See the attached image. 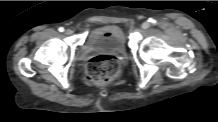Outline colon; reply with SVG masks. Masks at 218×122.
<instances>
[{"instance_id":"obj_1","label":"colon","mask_w":218,"mask_h":122,"mask_svg":"<svg viewBox=\"0 0 218 122\" xmlns=\"http://www.w3.org/2000/svg\"><path fill=\"white\" fill-rule=\"evenodd\" d=\"M120 70L117 57L112 55H99L93 57L87 66L88 80L96 85H105L114 81Z\"/></svg>"}]
</instances>
